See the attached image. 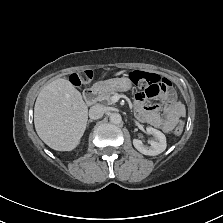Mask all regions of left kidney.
<instances>
[{"label":"left kidney","mask_w":223,"mask_h":223,"mask_svg":"<svg viewBox=\"0 0 223 223\" xmlns=\"http://www.w3.org/2000/svg\"><path fill=\"white\" fill-rule=\"evenodd\" d=\"M146 133L153 135L154 140L149 141V147L145 146L143 141L139 139H135L133 144L135 148L145 155H157L163 152L167 147V141L165 135L155 129V128H147Z\"/></svg>","instance_id":"5707ae66"}]
</instances>
